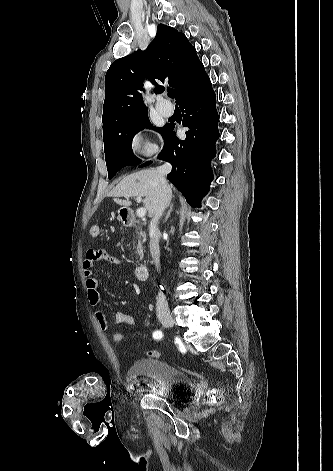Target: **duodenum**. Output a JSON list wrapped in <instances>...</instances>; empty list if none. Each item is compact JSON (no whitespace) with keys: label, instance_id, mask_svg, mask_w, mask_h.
<instances>
[{"label":"duodenum","instance_id":"1","mask_svg":"<svg viewBox=\"0 0 333 471\" xmlns=\"http://www.w3.org/2000/svg\"><path fill=\"white\" fill-rule=\"evenodd\" d=\"M123 223L124 225L131 227L135 225V218L133 213L130 210H125L123 214ZM149 274L148 265L145 260L140 259L135 267V275L139 280L147 279Z\"/></svg>","mask_w":333,"mask_h":471}]
</instances>
